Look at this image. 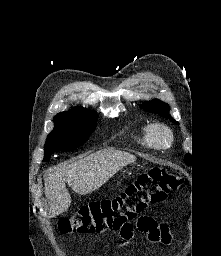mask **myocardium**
Returning <instances> with one entry per match:
<instances>
[{
  "mask_svg": "<svg viewBox=\"0 0 221 256\" xmlns=\"http://www.w3.org/2000/svg\"><path fill=\"white\" fill-rule=\"evenodd\" d=\"M150 135L155 146L167 148L174 140L172 130L163 123H154L150 126Z\"/></svg>",
  "mask_w": 221,
  "mask_h": 256,
  "instance_id": "1",
  "label": "myocardium"
}]
</instances>
